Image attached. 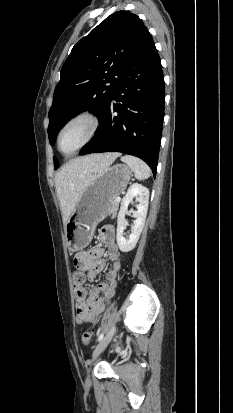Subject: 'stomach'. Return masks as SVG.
<instances>
[{
	"label": "stomach",
	"instance_id": "0dacf381",
	"mask_svg": "<svg viewBox=\"0 0 233 413\" xmlns=\"http://www.w3.org/2000/svg\"><path fill=\"white\" fill-rule=\"evenodd\" d=\"M132 171L127 165L116 164L99 172L82 193L65 224L68 248L75 252L91 241L95 228L108 212L110 201L127 187Z\"/></svg>",
	"mask_w": 233,
	"mask_h": 413
}]
</instances>
